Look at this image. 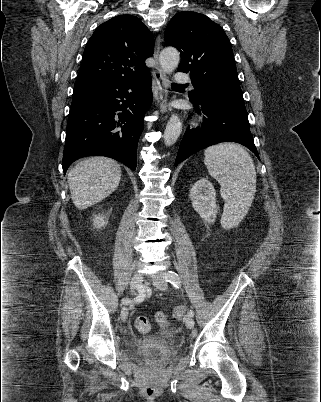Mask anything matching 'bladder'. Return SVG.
<instances>
[{
	"label": "bladder",
	"instance_id": "1",
	"mask_svg": "<svg viewBox=\"0 0 321 402\" xmlns=\"http://www.w3.org/2000/svg\"><path fill=\"white\" fill-rule=\"evenodd\" d=\"M165 336L154 334L141 339L134 347V351L146 361L164 365L171 361L172 355L168 352L166 345L163 344Z\"/></svg>",
	"mask_w": 321,
	"mask_h": 402
}]
</instances>
